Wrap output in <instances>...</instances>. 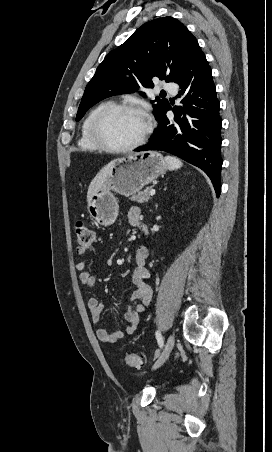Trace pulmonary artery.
<instances>
[{
	"label": "pulmonary artery",
	"mask_w": 272,
	"mask_h": 452,
	"mask_svg": "<svg viewBox=\"0 0 272 452\" xmlns=\"http://www.w3.org/2000/svg\"><path fill=\"white\" fill-rule=\"evenodd\" d=\"M162 89L167 92L176 93L177 85L174 82H164L162 84Z\"/></svg>",
	"instance_id": "e3ab8cb5"
}]
</instances>
